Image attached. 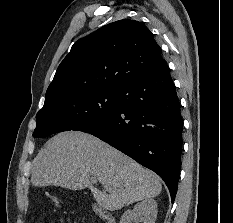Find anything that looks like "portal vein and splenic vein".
Returning <instances> with one entry per match:
<instances>
[{
    "instance_id": "18ae733b",
    "label": "portal vein and splenic vein",
    "mask_w": 233,
    "mask_h": 223,
    "mask_svg": "<svg viewBox=\"0 0 233 223\" xmlns=\"http://www.w3.org/2000/svg\"><path fill=\"white\" fill-rule=\"evenodd\" d=\"M91 181H92V183H98V179H97V177H94V175H92Z\"/></svg>"
}]
</instances>
